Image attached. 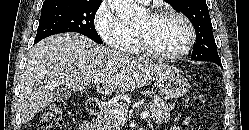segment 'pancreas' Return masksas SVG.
Wrapping results in <instances>:
<instances>
[{"instance_id": "pancreas-1", "label": "pancreas", "mask_w": 249, "mask_h": 130, "mask_svg": "<svg viewBox=\"0 0 249 130\" xmlns=\"http://www.w3.org/2000/svg\"><path fill=\"white\" fill-rule=\"evenodd\" d=\"M155 102H148L144 108L150 112L151 118L157 123L162 124L170 120L172 105H168L159 96H154ZM119 109L123 112L128 111V104L120 103L114 106H107L102 109V116L98 118V130H120L121 121L113 114V109Z\"/></svg>"}]
</instances>
